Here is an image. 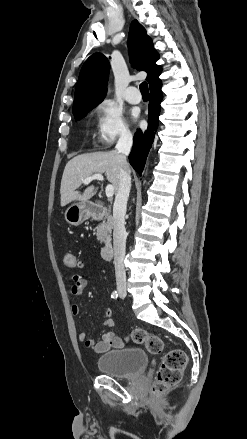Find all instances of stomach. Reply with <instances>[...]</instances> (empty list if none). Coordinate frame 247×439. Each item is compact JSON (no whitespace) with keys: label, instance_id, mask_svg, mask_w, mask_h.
Here are the masks:
<instances>
[{"label":"stomach","instance_id":"0dacf381","mask_svg":"<svg viewBox=\"0 0 247 439\" xmlns=\"http://www.w3.org/2000/svg\"><path fill=\"white\" fill-rule=\"evenodd\" d=\"M90 215L85 202L72 204L65 212V220L74 226L82 224Z\"/></svg>","mask_w":247,"mask_h":439}]
</instances>
